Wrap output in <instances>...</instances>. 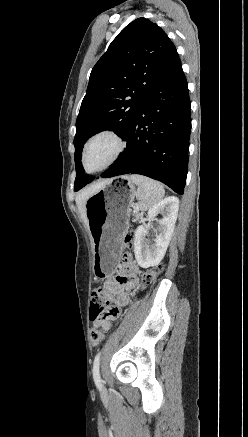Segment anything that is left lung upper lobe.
<instances>
[{
	"label": "left lung upper lobe",
	"mask_w": 248,
	"mask_h": 437,
	"mask_svg": "<svg viewBox=\"0 0 248 437\" xmlns=\"http://www.w3.org/2000/svg\"><path fill=\"white\" fill-rule=\"evenodd\" d=\"M177 58L166 33L145 18L132 21L111 42L91 71L76 120L75 191L93 179L81 163L86 140L103 130L125 138L144 99Z\"/></svg>",
	"instance_id": "obj_1"
}]
</instances>
